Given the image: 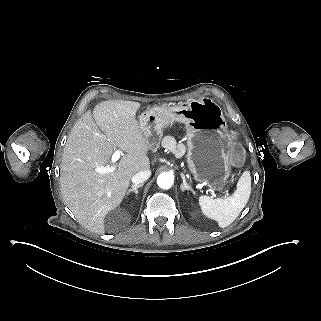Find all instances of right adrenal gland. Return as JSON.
Returning a JSON list of instances; mask_svg holds the SVG:
<instances>
[{"label": "right adrenal gland", "mask_w": 321, "mask_h": 321, "mask_svg": "<svg viewBox=\"0 0 321 321\" xmlns=\"http://www.w3.org/2000/svg\"><path fill=\"white\" fill-rule=\"evenodd\" d=\"M142 186H143V184L133 185V186H132V189L127 192L126 197H128L130 193H134V194L137 196V195H138L137 190H138L139 188H141Z\"/></svg>", "instance_id": "right-adrenal-gland-1"}]
</instances>
